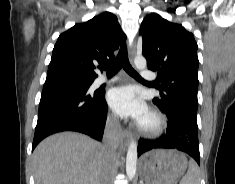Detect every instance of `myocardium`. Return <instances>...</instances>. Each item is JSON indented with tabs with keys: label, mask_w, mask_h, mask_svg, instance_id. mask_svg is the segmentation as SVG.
<instances>
[{
	"label": "myocardium",
	"mask_w": 235,
	"mask_h": 184,
	"mask_svg": "<svg viewBox=\"0 0 235 184\" xmlns=\"http://www.w3.org/2000/svg\"><path fill=\"white\" fill-rule=\"evenodd\" d=\"M149 114L153 118V123L149 127L142 126L141 124L137 128L139 136L147 139H152L160 136L166 129L167 119L163 113L157 109H151Z\"/></svg>",
	"instance_id": "obj_1"
}]
</instances>
